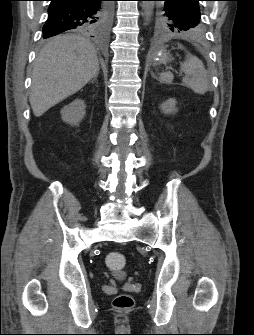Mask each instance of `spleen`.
I'll list each match as a JSON object with an SVG mask.
<instances>
[{"label":"spleen","instance_id":"spleen-1","mask_svg":"<svg viewBox=\"0 0 254 335\" xmlns=\"http://www.w3.org/2000/svg\"><path fill=\"white\" fill-rule=\"evenodd\" d=\"M180 71L185 74L182 82L189 87L194 93L202 95L209 89L208 73L200 59L196 56L188 54L186 59L180 65ZM173 74L165 72L160 74V80L164 83H171L173 81Z\"/></svg>","mask_w":254,"mask_h":335}]
</instances>
